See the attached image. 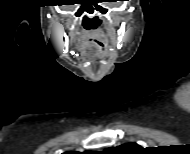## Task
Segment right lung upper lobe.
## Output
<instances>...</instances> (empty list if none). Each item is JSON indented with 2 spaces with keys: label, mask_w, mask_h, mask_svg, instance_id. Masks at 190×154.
I'll use <instances>...</instances> for the list:
<instances>
[{
  "label": "right lung upper lobe",
  "mask_w": 190,
  "mask_h": 154,
  "mask_svg": "<svg viewBox=\"0 0 190 154\" xmlns=\"http://www.w3.org/2000/svg\"><path fill=\"white\" fill-rule=\"evenodd\" d=\"M69 153H72V152H67V153H64V154H69Z\"/></svg>",
  "instance_id": "1"
}]
</instances>
